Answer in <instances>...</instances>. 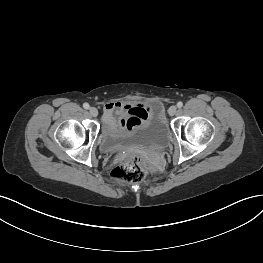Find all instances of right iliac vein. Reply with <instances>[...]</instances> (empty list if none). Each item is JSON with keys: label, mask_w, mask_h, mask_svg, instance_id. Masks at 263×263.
<instances>
[{"label": "right iliac vein", "mask_w": 263, "mask_h": 263, "mask_svg": "<svg viewBox=\"0 0 263 263\" xmlns=\"http://www.w3.org/2000/svg\"><path fill=\"white\" fill-rule=\"evenodd\" d=\"M89 113L91 116L96 117L98 115V110L95 107L89 108Z\"/></svg>", "instance_id": "63e3f726"}]
</instances>
